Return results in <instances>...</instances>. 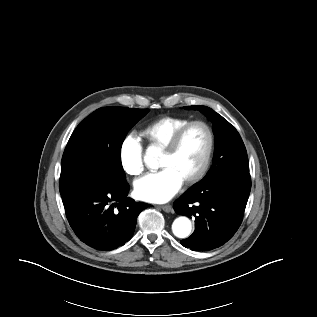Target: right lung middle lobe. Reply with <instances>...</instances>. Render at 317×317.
<instances>
[{"instance_id": "obj_1", "label": "right lung middle lobe", "mask_w": 317, "mask_h": 317, "mask_svg": "<svg viewBox=\"0 0 317 317\" xmlns=\"http://www.w3.org/2000/svg\"><path fill=\"white\" fill-rule=\"evenodd\" d=\"M149 109L104 107L86 117L65 148L60 175V194L65 196L87 179L109 174L126 179L121 147L128 131Z\"/></svg>"}]
</instances>
